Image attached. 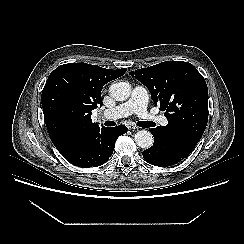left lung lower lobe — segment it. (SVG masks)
I'll return each instance as SVG.
<instances>
[{"label": "left lung lower lobe", "mask_w": 244, "mask_h": 244, "mask_svg": "<svg viewBox=\"0 0 244 244\" xmlns=\"http://www.w3.org/2000/svg\"><path fill=\"white\" fill-rule=\"evenodd\" d=\"M151 132L154 136V144L143 151L146 162L160 167L172 166L185 159L191 152L181 144L163 138L158 127L151 129Z\"/></svg>", "instance_id": "left-lung-lower-lobe-1"}]
</instances>
